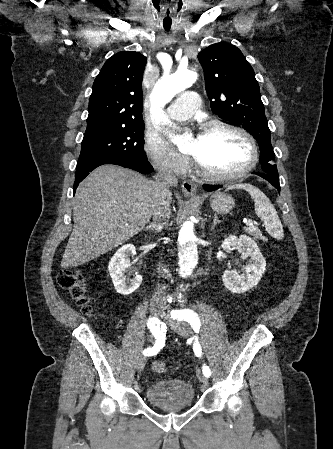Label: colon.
<instances>
[{
  "label": "colon",
  "instance_id": "1",
  "mask_svg": "<svg viewBox=\"0 0 333 449\" xmlns=\"http://www.w3.org/2000/svg\"><path fill=\"white\" fill-rule=\"evenodd\" d=\"M58 284L61 288L69 291L76 303L86 312L92 311L91 298L85 288L83 275L75 270L64 268L57 276ZM153 370L156 373H165L167 366L164 362L153 363Z\"/></svg>",
  "mask_w": 333,
  "mask_h": 449
}]
</instances>
